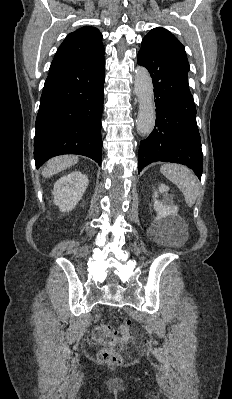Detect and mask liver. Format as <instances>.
I'll list each match as a JSON object with an SVG mask.
<instances>
[{
	"label": "liver",
	"instance_id": "6515ba94",
	"mask_svg": "<svg viewBox=\"0 0 232 399\" xmlns=\"http://www.w3.org/2000/svg\"><path fill=\"white\" fill-rule=\"evenodd\" d=\"M78 162V156H58V158H52L47 162L46 168L42 172L43 178H51L54 174H59L66 168L75 166Z\"/></svg>",
	"mask_w": 232,
	"mask_h": 399
}]
</instances>
